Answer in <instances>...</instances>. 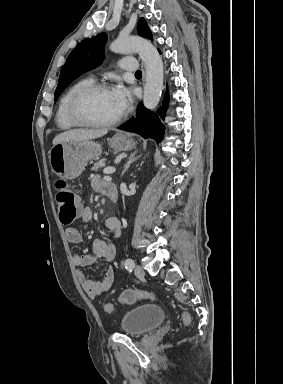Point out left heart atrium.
Masks as SVG:
<instances>
[{"instance_id": "39dd6f15", "label": "left heart atrium", "mask_w": 283, "mask_h": 384, "mask_svg": "<svg viewBox=\"0 0 283 384\" xmlns=\"http://www.w3.org/2000/svg\"><path fill=\"white\" fill-rule=\"evenodd\" d=\"M110 91L118 110L121 113L126 111L129 108L131 102L130 91L122 85H116Z\"/></svg>"}]
</instances>
